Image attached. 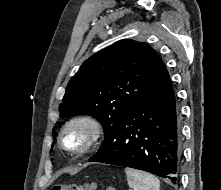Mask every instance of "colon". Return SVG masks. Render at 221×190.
I'll return each mask as SVG.
<instances>
[{
	"mask_svg": "<svg viewBox=\"0 0 221 190\" xmlns=\"http://www.w3.org/2000/svg\"><path fill=\"white\" fill-rule=\"evenodd\" d=\"M96 185L93 183L86 184H65L55 183L52 190H95Z\"/></svg>",
	"mask_w": 221,
	"mask_h": 190,
	"instance_id": "colon-1",
	"label": "colon"
}]
</instances>
